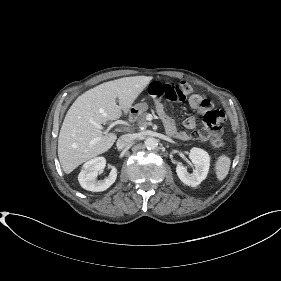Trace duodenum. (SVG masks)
Listing matches in <instances>:
<instances>
[{
    "instance_id": "obj_1",
    "label": "duodenum",
    "mask_w": 281,
    "mask_h": 281,
    "mask_svg": "<svg viewBox=\"0 0 281 281\" xmlns=\"http://www.w3.org/2000/svg\"><path fill=\"white\" fill-rule=\"evenodd\" d=\"M135 117V113L134 112H130L128 115V119L132 120Z\"/></svg>"
}]
</instances>
